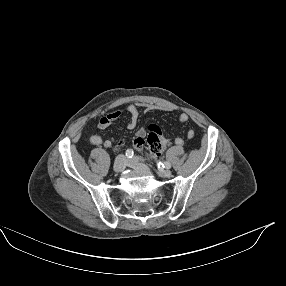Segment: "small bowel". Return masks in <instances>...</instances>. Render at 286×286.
Listing matches in <instances>:
<instances>
[{"mask_svg":"<svg viewBox=\"0 0 286 286\" xmlns=\"http://www.w3.org/2000/svg\"><path fill=\"white\" fill-rule=\"evenodd\" d=\"M142 107L144 108L147 112H153V111H168V108L159 106V105H155V104H151V103H143L141 105L135 104V103H130L127 106V112L129 114V122H128V129H135L138 123V119L140 116V110L139 108ZM121 115L120 111H114L109 113L108 115L102 117L99 119L98 121V128L99 129H106L108 128L114 121H116ZM189 120V115L187 113H181L178 116V122L180 124H184ZM136 135L140 138H143L146 135V130L144 128H140L137 130ZM195 135L194 130L189 129L187 131V138L188 139H192ZM89 141L92 145L95 146H100L103 145L104 147H111L114 143V139L113 138H107V139H103L100 135H92L89 138ZM185 143L184 138L182 137H177L175 139V144L177 146H183ZM168 145V140L164 139L163 140V146L166 147Z\"/></svg>","mask_w":286,"mask_h":286,"instance_id":"obj_1","label":"small bowel"}]
</instances>
